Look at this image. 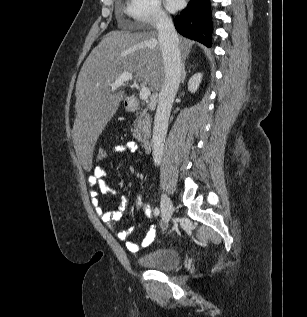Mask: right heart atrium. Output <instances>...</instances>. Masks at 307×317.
I'll return each instance as SVG.
<instances>
[{
    "label": "right heart atrium",
    "instance_id": "right-heart-atrium-1",
    "mask_svg": "<svg viewBox=\"0 0 307 317\" xmlns=\"http://www.w3.org/2000/svg\"><path fill=\"white\" fill-rule=\"evenodd\" d=\"M126 11L139 24L158 26L168 20L159 0H129Z\"/></svg>",
    "mask_w": 307,
    "mask_h": 317
}]
</instances>
